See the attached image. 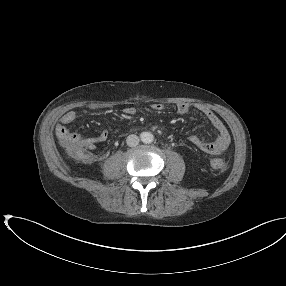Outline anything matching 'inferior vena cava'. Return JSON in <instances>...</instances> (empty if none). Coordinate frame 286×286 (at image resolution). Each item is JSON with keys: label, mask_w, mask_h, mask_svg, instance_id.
Wrapping results in <instances>:
<instances>
[{"label": "inferior vena cava", "mask_w": 286, "mask_h": 286, "mask_svg": "<svg viewBox=\"0 0 286 286\" xmlns=\"http://www.w3.org/2000/svg\"><path fill=\"white\" fill-rule=\"evenodd\" d=\"M139 141H140L139 137L134 134L129 135L126 139V143L129 147L137 146L139 144Z\"/></svg>", "instance_id": "obj_1"}]
</instances>
